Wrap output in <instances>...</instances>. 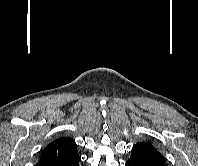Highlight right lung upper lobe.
Wrapping results in <instances>:
<instances>
[{"label":"right lung upper lobe","mask_w":198,"mask_h":166,"mask_svg":"<svg viewBox=\"0 0 198 166\" xmlns=\"http://www.w3.org/2000/svg\"><path fill=\"white\" fill-rule=\"evenodd\" d=\"M78 156L75 141L63 137L52 141L44 148L38 163L62 162Z\"/></svg>","instance_id":"1"}]
</instances>
